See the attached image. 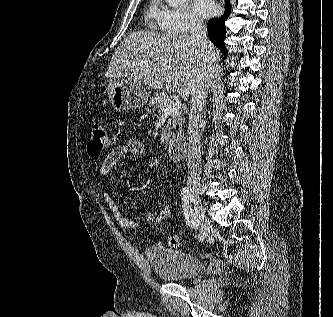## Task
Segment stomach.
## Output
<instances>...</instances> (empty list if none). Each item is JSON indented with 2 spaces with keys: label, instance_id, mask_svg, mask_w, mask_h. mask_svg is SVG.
I'll return each mask as SVG.
<instances>
[{
  "label": "stomach",
  "instance_id": "stomach-1",
  "mask_svg": "<svg viewBox=\"0 0 333 317\" xmlns=\"http://www.w3.org/2000/svg\"><path fill=\"white\" fill-rule=\"evenodd\" d=\"M109 99L117 111L142 108L149 94L142 82L133 78L114 79L105 82Z\"/></svg>",
  "mask_w": 333,
  "mask_h": 317
}]
</instances>
